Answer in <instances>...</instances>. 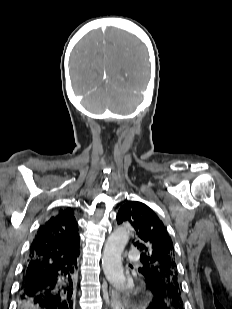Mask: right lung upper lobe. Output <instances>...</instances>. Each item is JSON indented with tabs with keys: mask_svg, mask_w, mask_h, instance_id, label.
Listing matches in <instances>:
<instances>
[{
	"mask_svg": "<svg viewBox=\"0 0 232 309\" xmlns=\"http://www.w3.org/2000/svg\"><path fill=\"white\" fill-rule=\"evenodd\" d=\"M79 243L73 210H60L39 227L29 249L28 261L40 268L54 260L74 258L79 255Z\"/></svg>",
	"mask_w": 232,
	"mask_h": 309,
	"instance_id": "cb5924a9",
	"label": "right lung upper lobe"
}]
</instances>
